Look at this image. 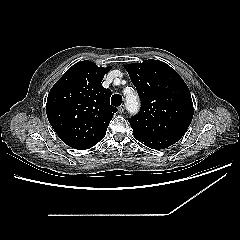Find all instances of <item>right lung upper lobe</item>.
Here are the masks:
<instances>
[{
	"instance_id": "cb5924a9",
	"label": "right lung upper lobe",
	"mask_w": 240,
	"mask_h": 240,
	"mask_svg": "<svg viewBox=\"0 0 240 240\" xmlns=\"http://www.w3.org/2000/svg\"><path fill=\"white\" fill-rule=\"evenodd\" d=\"M110 66L85 60L70 67L51 88L46 104L48 120L68 146L88 149L101 141L117 112L110 105L111 91L102 86Z\"/></svg>"
}]
</instances>
